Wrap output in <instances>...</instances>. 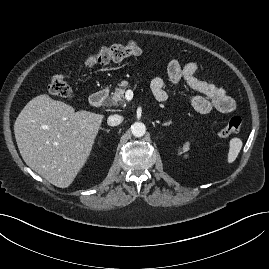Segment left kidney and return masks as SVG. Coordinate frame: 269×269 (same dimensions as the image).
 <instances>
[{"label": "left kidney", "instance_id": "5707ae66", "mask_svg": "<svg viewBox=\"0 0 269 269\" xmlns=\"http://www.w3.org/2000/svg\"><path fill=\"white\" fill-rule=\"evenodd\" d=\"M190 149V143L187 141L183 144V147L181 149H178V154H182L187 152Z\"/></svg>", "mask_w": 269, "mask_h": 269}]
</instances>
